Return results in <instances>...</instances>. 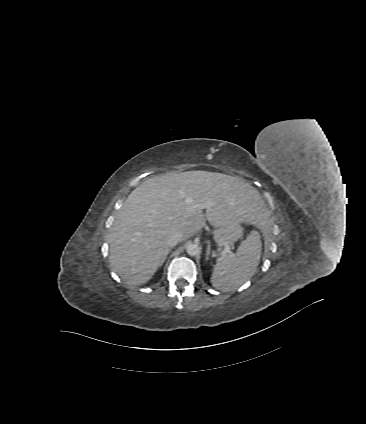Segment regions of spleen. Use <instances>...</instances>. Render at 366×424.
<instances>
[{
	"mask_svg": "<svg viewBox=\"0 0 366 424\" xmlns=\"http://www.w3.org/2000/svg\"><path fill=\"white\" fill-rule=\"evenodd\" d=\"M260 234L253 230L237 249V252L223 253L213 267L212 285L222 291H232L252 277L260 262Z\"/></svg>",
	"mask_w": 366,
	"mask_h": 424,
	"instance_id": "3e777b00",
	"label": "spleen"
}]
</instances>
